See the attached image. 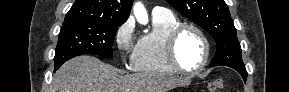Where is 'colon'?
<instances>
[{"label":"colon","mask_w":289,"mask_h":92,"mask_svg":"<svg viewBox=\"0 0 289 92\" xmlns=\"http://www.w3.org/2000/svg\"><path fill=\"white\" fill-rule=\"evenodd\" d=\"M224 87V82L220 79L215 80L208 85V90L213 92V91H221Z\"/></svg>","instance_id":"1"}]
</instances>
